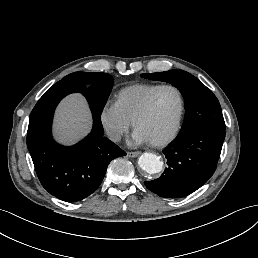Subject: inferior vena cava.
<instances>
[{"label":"inferior vena cava","mask_w":258,"mask_h":258,"mask_svg":"<svg viewBox=\"0 0 258 258\" xmlns=\"http://www.w3.org/2000/svg\"><path fill=\"white\" fill-rule=\"evenodd\" d=\"M107 131V135L108 137L112 140V141H119L121 139V135L119 132H117L116 130L114 129H111V128H108L106 129Z\"/></svg>","instance_id":"1"}]
</instances>
